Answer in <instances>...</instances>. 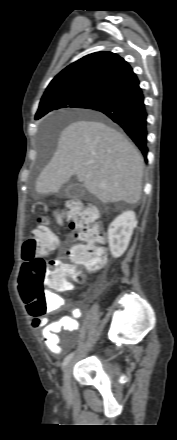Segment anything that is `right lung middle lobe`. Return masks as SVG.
<instances>
[{
  "label": "right lung middle lobe",
  "mask_w": 177,
  "mask_h": 440,
  "mask_svg": "<svg viewBox=\"0 0 177 440\" xmlns=\"http://www.w3.org/2000/svg\"><path fill=\"white\" fill-rule=\"evenodd\" d=\"M100 98L98 94L67 91L57 93L40 102L35 119H39L50 111L60 108H86Z\"/></svg>",
  "instance_id": "1"
}]
</instances>
